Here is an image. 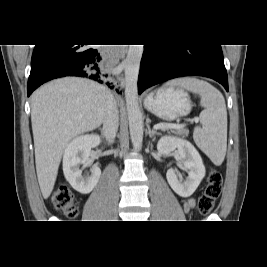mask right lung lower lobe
<instances>
[{"label": "right lung lower lobe", "mask_w": 267, "mask_h": 267, "mask_svg": "<svg viewBox=\"0 0 267 267\" xmlns=\"http://www.w3.org/2000/svg\"><path fill=\"white\" fill-rule=\"evenodd\" d=\"M65 76L103 83L109 73L100 52L89 45H36L31 59L28 96L43 83ZM107 84L113 88L109 82Z\"/></svg>", "instance_id": "obj_1"}]
</instances>
